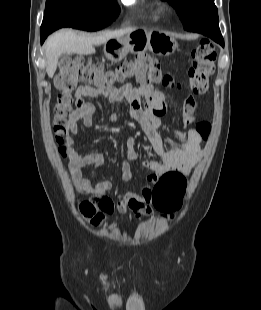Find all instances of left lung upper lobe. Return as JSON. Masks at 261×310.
Segmentation results:
<instances>
[{
  "instance_id": "left-lung-upper-lobe-1",
  "label": "left lung upper lobe",
  "mask_w": 261,
  "mask_h": 310,
  "mask_svg": "<svg viewBox=\"0 0 261 310\" xmlns=\"http://www.w3.org/2000/svg\"><path fill=\"white\" fill-rule=\"evenodd\" d=\"M176 9L184 29L193 24L210 20L218 23V11L214 0H167Z\"/></svg>"
}]
</instances>
